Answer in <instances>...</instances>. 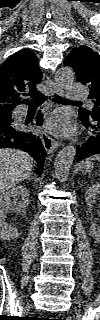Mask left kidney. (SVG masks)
<instances>
[{"mask_svg":"<svg viewBox=\"0 0 100 320\" xmlns=\"http://www.w3.org/2000/svg\"><path fill=\"white\" fill-rule=\"evenodd\" d=\"M100 195V185L94 184L85 193V201L88 205L95 202V199ZM90 234L95 239H99L100 237V229L97 224H92L90 228Z\"/></svg>","mask_w":100,"mask_h":320,"instance_id":"left-kidney-1","label":"left kidney"}]
</instances>
